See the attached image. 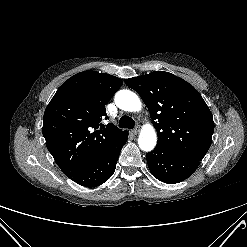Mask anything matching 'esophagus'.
<instances>
[{"instance_id": "obj_1", "label": "esophagus", "mask_w": 247, "mask_h": 247, "mask_svg": "<svg viewBox=\"0 0 247 247\" xmlns=\"http://www.w3.org/2000/svg\"><path fill=\"white\" fill-rule=\"evenodd\" d=\"M139 131H140V127H139V126H136V127L132 130L133 134H135V135L138 134Z\"/></svg>"}]
</instances>
